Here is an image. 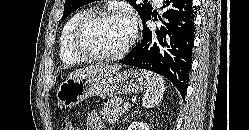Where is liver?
Here are the masks:
<instances>
[{
  "label": "liver",
  "mask_w": 249,
  "mask_h": 130,
  "mask_svg": "<svg viewBox=\"0 0 249 130\" xmlns=\"http://www.w3.org/2000/svg\"><path fill=\"white\" fill-rule=\"evenodd\" d=\"M121 66L93 65L77 69L69 74L68 78H79L96 74L111 73L117 71Z\"/></svg>",
  "instance_id": "obj_1"
}]
</instances>
